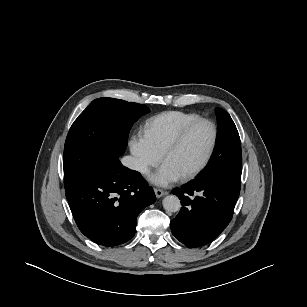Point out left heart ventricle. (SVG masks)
Listing matches in <instances>:
<instances>
[{
  "instance_id": "b2bd125f",
  "label": "left heart ventricle",
  "mask_w": 307,
  "mask_h": 307,
  "mask_svg": "<svg viewBox=\"0 0 307 307\" xmlns=\"http://www.w3.org/2000/svg\"><path fill=\"white\" fill-rule=\"evenodd\" d=\"M212 140V129L208 124L196 126L182 144L165 160L182 176L194 170L205 157Z\"/></svg>"
}]
</instances>
